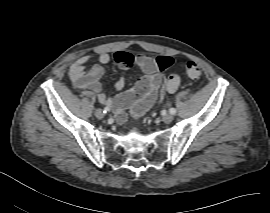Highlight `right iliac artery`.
<instances>
[{"label":"right iliac artery","mask_w":270,"mask_h":213,"mask_svg":"<svg viewBox=\"0 0 270 213\" xmlns=\"http://www.w3.org/2000/svg\"><path fill=\"white\" fill-rule=\"evenodd\" d=\"M109 111H110V109L108 107H105L103 112L108 113Z\"/></svg>","instance_id":"obj_1"}]
</instances>
